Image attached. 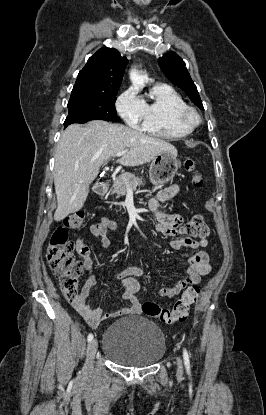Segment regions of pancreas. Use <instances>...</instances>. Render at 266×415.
Wrapping results in <instances>:
<instances>
[{
  "mask_svg": "<svg viewBox=\"0 0 266 415\" xmlns=\"http://www.w3.org/2000/svg\"><path fill=\"white\" fill-rule=\"evenodd\" d=\"M125 180L128 181V184H125ZM142 183V179L136 177L132 173H124L123 175L115 178L113 180V185L110 189V194H116L117 197L123 196L126 194L128 188L135 190Z\"/></svg>",
  "mask_w": 266,
  "mask_h": 415,
  "instance_id": "1",
  "label": "pancreas"
}]
</instances>
